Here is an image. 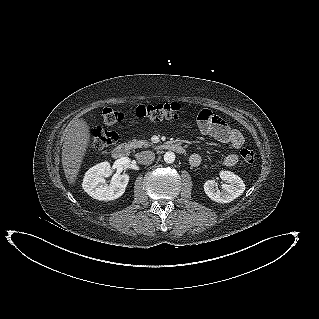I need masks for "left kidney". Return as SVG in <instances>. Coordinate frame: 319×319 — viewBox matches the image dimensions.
<instances>
[{
  "mask_svg": "<svg viewBox=\"0 0 319 319\" xmlns=\"http://www.w3.org/2000/svg\"><path fill=\"white\" fill-rule=\"evenodd\" d=\"M219 176L226 183L222 185V191L216 187L217 183L213 180L204 183V191L211 200L218 203H229L245 191L243 180L233 172L222 170Z\"/></svg>",
  "mask_w": 319,
  "mask_h": 319,
  "instance_id": "left-kidney-1",
  "label": "left kidney"
}]
</instances>
